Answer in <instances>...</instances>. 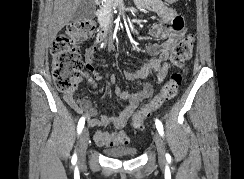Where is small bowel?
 <instances>
[{
    "instance_id": "c3829d8e",
    "label": "small bowel",
    "mask_w": 244,
    "mask_h": 179,
    "mask_svg": "<svg viewBox=\"0 0 244 179\" xmlns=\"http://www.w3.org/2000/svg\"><path fill=\"white\" fill-rule=\"evenodd\" d=\"M136 7L140 11L152 12L161 18V22L154 23L149 28V35L154 38H162V43H150L146 46V54L150 57L148 63L141 65L137 70H126L124 77L127 80H145L149 76L155 82H161L167 73L165 62L169 59L172 49L183 35V19L177 11L162 0H137ZM100 47V41L95 40L85 50L84 56L88 62V74L95 80H100L101 75L96 70L92 60ZM110 83L115 85V94L121 100L127 101V105L118 115L104 114L100 119L93 118L95 110L91 102L75 95L77 84L63 93L64 101L76 113L83 114L86 111V118L91 127L104 126L114 127L118 132L97 131L94 135L95 142L100 146L112 147L119 144H127L128 135L122 131L127 122L139 106V104L150 97L153 92L152 84L146 82L142 89L130 92L116 84V75L110 77Z\"/></svg>"
}]
</instances>
